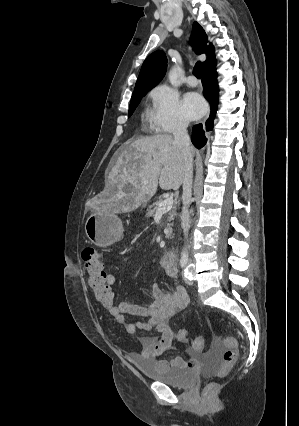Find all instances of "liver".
I'll use <instances>...</instances> for the list:
<instances>
[{
  "mask_svg": "<svg viewBox=\"0 0 299 426\" xmlns=\"http://www.w3.org/2000/svg\"><path fill=\"white\" fill-rule=\"evenodd\" d=\"M194 152L192 147V160ZM183 178V151L172 135L144 137L120 149L99 204L113 212H130L150 200L158 185L178 190Z\"/></svg>",
  "mask_w": 299,
  "mask_h": 426,
  "instance_id": "6515ba94",
  "label": "liver"
}]
</instances>
